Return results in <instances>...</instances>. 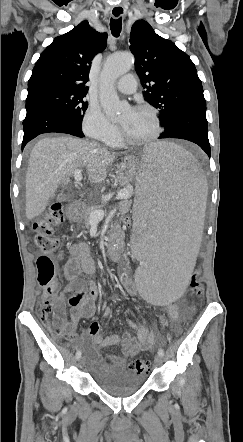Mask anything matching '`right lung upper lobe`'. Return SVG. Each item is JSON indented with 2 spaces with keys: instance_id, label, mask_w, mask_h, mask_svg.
Returning <instances> with one entry per match:
<instances>
[{
  "instance_id": "obj_1",
  "label": "right lung upper lobe",
  "mask_w": 243,
  "mask_h": 442,
  "mask_svg": "<svg viewBox=\"0 0 243 442\" xmlns=\"http://www.w3.org/2000/svg\"><path fill=\"white\" fill-rule=\"evenodd\" d=\"M106 42L107 34L92 29L86 20L56 37L35 63L27 97L50 90L86 95L91 61L105 49Z\"/></svg>"
}]
</instances>
